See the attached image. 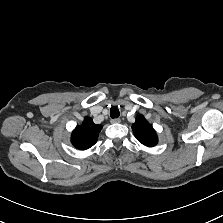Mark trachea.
I'll return each instance as SVG.
<instances>
[{"label":"trachea","mask_w":223,"mask_h":223,"mask_svg":"<svg viewBox=\"0 0 223 223\" xmlns=\"http://www.w3.org/2000/svg\"><path fill=\"white\" fill-rule=\"evenodd\" d=\"M120 115V112H119V109L116 107V106H113L111 109H110V116L112 119L114 118H118Z\"/></svg>","instance_id":"3493384b"}]
</instances>
